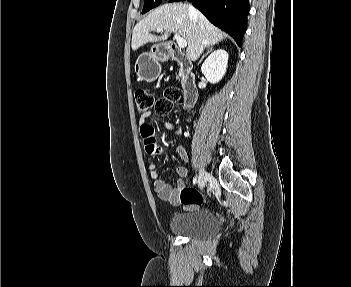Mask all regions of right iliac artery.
Wrapping results in <instances>:
<instances>
[{
	"mask_svg": "<svg viewBox=\"0 0 351 287\" xmlns=\"http://www.w3.org/2000/svg\"><path fill=\"white\" fill-rule=\"evenodd\" d=\"M198 181L197 176L193 178V184H196Z\"/></svg>",
	"mask_w": 351,
	"mask_h": 287,
	"instance_id": "obj_1",
	"label": "right iliac artery"
}]
</instances>
